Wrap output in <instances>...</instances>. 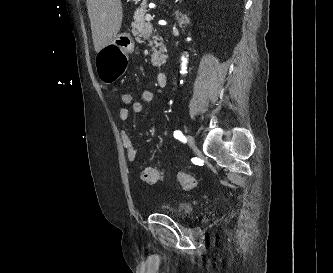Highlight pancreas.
<instances>
[{
	"label": "pancreas",
	"mask_w": 333,
	"mask_h": 273,
	"mask_svg": "<svg viewBox=\"0 0 333 273\" xmlns=\"http://www.w3.org/2000/svg\"><path fill=\"white\" fill-rule=\"evenodd\" d=\"M146 12L147 5L141 4L140 7L137 8L133 16L134 21L131 24L132 33L138 38V40H141L142 38L146 39L148 37L149 31L152 30V25L150 23H145ZM153 39V41H149V45L152 46L153 51L151 61L153 66L160 67L166 60V55L164 54V52L166 51V47L162 42L161 37L154 36ZM158 47L159 50L157 51Z\"/></svg>",
	"instance_id": "pancreas-1"
}]
</instances>
